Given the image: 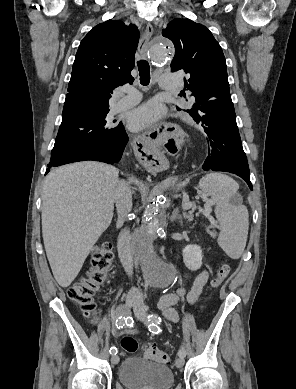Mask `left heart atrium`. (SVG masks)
<instances>
[{"instance_id":"1","label":"left heart atrium","mask_w":296,"mask_h":389,"mask_svg":"<svg viewBox=\"0 0 296 389\" xmlns=\"http://www.w3.org/2000/svg\"><path fill=\"white\" fill-rule=\"evenodd\" d=\"M164 116V109L156 101H149L134 109L128 117V126L133 131L146 129Z\"/></svg>"}]
</instances>
